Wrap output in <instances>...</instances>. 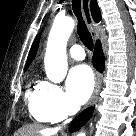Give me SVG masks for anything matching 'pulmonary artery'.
Returning a JSON list of instances; mask_svg holds the SVG:
<instances>
[{"instance_id": "1", "label": "pulmonary artery", "mask_w": 136, "mask_h": 136, "mask_svg": "<svg viewBox=\"0 0 136 136\" xmlns=\"http://www.w3.org/2000/svg\"><path fill=\"white\" fill-rule=\"evenodd\" d=\"M69 54L77 60H83L85 58L84 50L80 45H73L69 49Z\"/></svg>"}]
</instances>
